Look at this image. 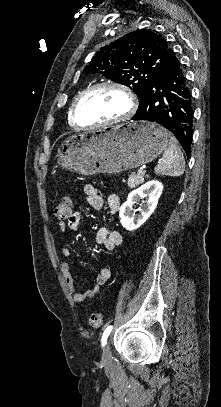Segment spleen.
Instances as JSON below:
<instances>
[{"instance_id": "obj_1", "label": "spleen", "mask_w": 221, "mask_h": 407, "mask_svg": "<svg viewBox=\"0 0 221 407\" xmlns=\"http://www.w3.org/2000/svg\"><path fill=\"white\" fill-rule=\"evenodd\" d=\"M185 170V159L176 138L169 136L167 148L162 155V161L155 167L158 175L181 176Z\"/></svg>"}]
</instances>
